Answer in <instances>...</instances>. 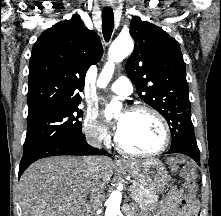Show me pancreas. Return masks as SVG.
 I'll use <instances>...</instances> for the list:
<instances>
[{
  "label": "pancreas",
  "mask_w": 221,
  "mask_h": 216,
  "mask_svg": "<svg viewBox=\"0 0 221 216\" xmlns=\"http://www.w3.org/2000/svg\"><path fill=\"white\" fill-rule=\"evenodd\" d=\"M130 190L132 198L141 207L154 205L158 201L159 196L150 189L134 185Z\"/></svg>",
  "instance_id": "pancreas-1"
}]
</instances>
